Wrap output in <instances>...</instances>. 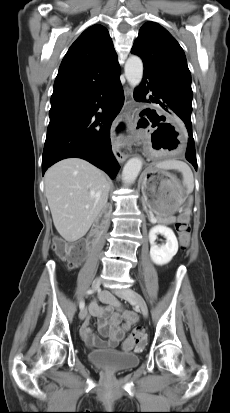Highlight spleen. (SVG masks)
Listing matches in <instances>:
<instances>
[{
    "label": "spleen",
    "instance_id": "3e777b00",
    "mask_svg": "<svg viewBox=\"0 0 230 413\" xmlns=\"http://www.w3.org/2000/svg\"><path fill=\"white\" fill-rule=\"evenodd\" d=\"M159 169L164 170H177L182 173L183 184L186 186L187 193L190 194L194 189V177L190 167L183 161L171 159L160 162L156 165ZM192 203V198L189 199V206L186 208L185 213L187 215L191 214L190 205Z\"/></svg>",
    "mask_w": 230,
    "mask_h": 413
}]
</instances>
